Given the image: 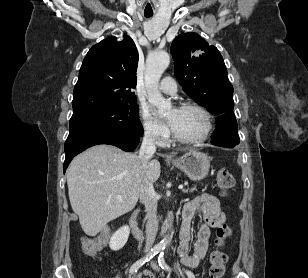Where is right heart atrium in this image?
<instances>
[{
	"label": "right heart atrium",
	"mask_w": 308,
	"mask_h": 278,
	"mask_svg": "<svg viewBox=\"0 0 308 278\" xmlns=\"http://www.w3.org/2000/svg\"><path fill=\"white\" fill-rule=\"evenodd\" d=\"M142 131L144 137L157 145H165L169 140V130L158 121L147 109L140 113Z\"/></svg>",
	"instance_id": "right-heart-atrium-1"
}]
</instances>
